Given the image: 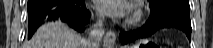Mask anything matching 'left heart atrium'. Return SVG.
I'll return each mask as SVG.
<instances>
[{"instance_id":"1","label":"left heart atrium","mask_w":213,"mask_h":48,"mask_svg":"<svg viewBox=\"0 0 213 48\" xmlns=\"http://www.w3.org/2000/svg\"><path fill=\"white\" fill-rule=\"evenodd\" d=\"M94 7L101 13L112 17H123L128 13V4L124 0H97Z\"/></svg>"}]
</instances>
